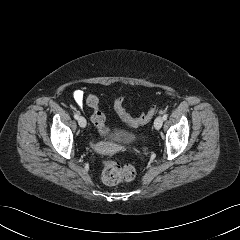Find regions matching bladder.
Instances as JSON below:
<instances>
[{"instance_id":"obj_1","label":"bladder","mask_w":240,"mask_h":240,"mask_svg":"<svg viewBox=\"0 0 240 240\" xmlns=\"http://www.w3.org/2000/svg\"><path fill=\"white\" fill-rule=\"evenodd\" d=\"M132 139L133 134L125 129H117L113 135V140L121 144H129Z\"/></svg>"}]
</instances>
